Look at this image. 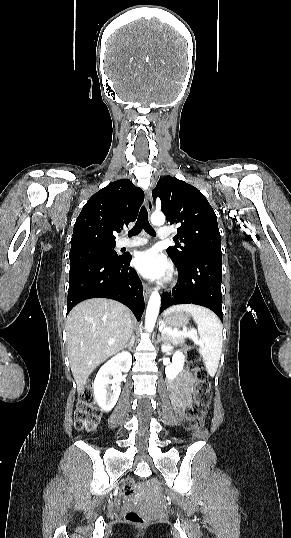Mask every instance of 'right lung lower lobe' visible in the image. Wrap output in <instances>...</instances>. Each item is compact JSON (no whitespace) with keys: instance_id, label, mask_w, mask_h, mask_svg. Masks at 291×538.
<instances>
[{"instance_id":"obj_1","label":"right lung lower lobe","mask_w":291,"mask_h":538,"mask_svg":"<svg viewBox=\"0 0 291 538\" xmlns=\"http://www.w3.org/2000/svg\"><path fill=\"white\" fill-rule=\"evenodd\" d=\"M130 256L117 260L90 259L70 264L67 313L90 298H109L129 307L139 320L144 310L143 287L129 266Z\"/></svg>"}]
</instances>
